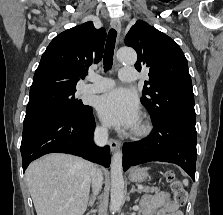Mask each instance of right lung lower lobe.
Segmentation results:
<instances>
[{
	"label": "right lung lower lobe",
	"mask_w": 223,
	"mask_h": 215,
	"mask_svg": "<svg viewBox=\"0 0 223 215\" xmlns=\"http://www.w3.org/2000/svg\"><path fill=\"white\" fill-rule=\"evenodd\" d=\"M94 129L93 110L83 119L52 116L24 122L20 147L23 172L30 162L53 152L77 155L109 167L110 148L94 145Z\"/></svg>",
	"instance_id": "1"
}]
</instances>
